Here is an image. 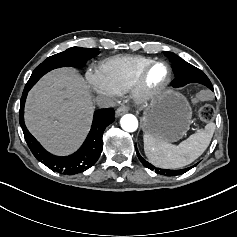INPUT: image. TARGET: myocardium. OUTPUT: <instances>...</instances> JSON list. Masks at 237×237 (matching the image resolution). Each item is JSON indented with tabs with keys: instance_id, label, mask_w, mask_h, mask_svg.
<instances>
[{
	"instance_id": "obj_1",
	"label": "myocardium",
	"mask_w": 237,
	"mask_h": 237,
	"mask_svg": "<svg viewBox=\"0 0 237 237\" xmlns=\"http://www.w3.org/2000/svg\"><path fill=\"white\" fill-rule=\"evenodd\" d=\"M156 65H163L166 68L165 79L157 84L151 85L148 82V74L150 70ZM171 80V68L167 62L162 60H153L148 63L139 74L135 82L132 93L135 101L139 104L145 105L157 98L168 86Z\"/></svg>"
}]
</instances>
